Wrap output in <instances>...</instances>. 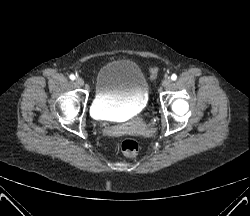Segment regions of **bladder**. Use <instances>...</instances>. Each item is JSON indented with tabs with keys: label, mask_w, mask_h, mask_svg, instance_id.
<instances>
[{
	"label": "bladder",
	"mask_w": 250,
	"mask_h": 216,
	"mask_svg": "<svg viewBox=\"0 0 250 216\" xmlns=\"http://www.w3.org/2000/svg\"><path fill=\"white\" fill-rule=\"evenodd\" d=\"M149 87L141 68L131 60H114L97 72L91 110L96 117H122L142 111Z\"/></svg>",
	"instance_id": "1"
}]
</instances>
